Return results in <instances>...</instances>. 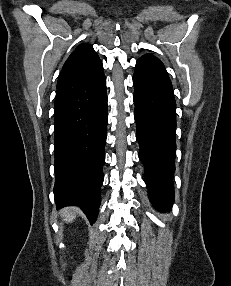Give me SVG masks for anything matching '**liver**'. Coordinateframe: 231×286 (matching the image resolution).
I'll use <instances>...</instances> for the list:
<instances>
[{"mask_svg":"<svg viewBox=\"0 0 231 286\" xmlns=\"http://www.w3.org/2000/svg\"><path fill=\"white\" fill-rule=\"evenodd\" d=\"M78 211L73 207H67L60 211V215L65 219L67 223H71L77 215Z\"/></svg>","mask_w":231,"mask_h":286,"instance_id":"6515ba94","label":"liver"}]
</instances>
